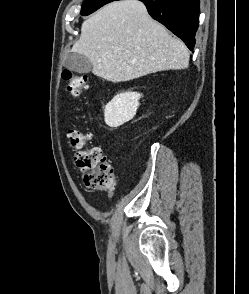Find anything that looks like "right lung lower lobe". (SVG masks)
Masks as SVG:
<instances>
[{
  "label": "right lung lower lobe",
  "mask_w": 249,
  "mask_h": 294,
  "mask_svg": "<svg viewBox=\"0 0 249 294\" xmlns=\"http://www.w3.org/2000/svg\"><path fill=\"white\" fill-rule=\"evenodd\" d=\"M151 17L181 38L190 50L195 46L199 0H140Z\"/></svg>",
  "instance_id": "98d812e1"
}]
</instances>
